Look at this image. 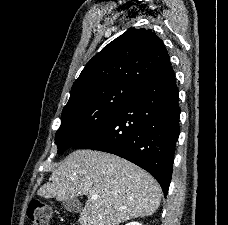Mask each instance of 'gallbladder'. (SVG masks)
<instances>
[{
  "mask_svg": "<svg viewBox=\"0 0 228 225\" xmlns=\"http://www.w3.org/2000/svg\"><path fill=\"white\" fill-rule=\"evenodd\" d=\"M61 205H63L65 211H69V213H81L83 209V205L77 197L67 199V201H62Z\"/></svg>",
  "mask_w": 228,
  "mask_h": 225,
  "instance_id": "1",
  "label": "gallbladder"
}]
</instances>
